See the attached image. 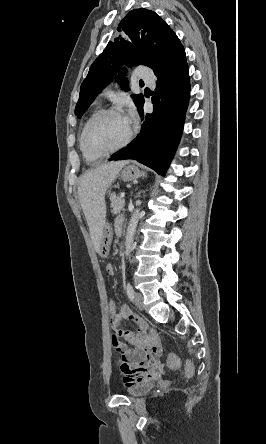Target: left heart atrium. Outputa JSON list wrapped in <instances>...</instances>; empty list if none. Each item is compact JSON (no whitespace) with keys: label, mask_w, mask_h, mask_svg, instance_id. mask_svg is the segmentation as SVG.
Masks as SVG:
<instances>
[{"label":"left heart atrium","mask_w":266,"mask_h":444,"mask_svg":"<svg viewBox=\"0 0 266 444\" xmlns=\"http://www.w3.org/2000/svg\"><path fill=\"white\" fill-rule=\"evenodd\" d=\"M135 117H136L135 112L131 110L127 118V121L130 123L131 121L135 120Z\"/></svg>","instance_id":"left-heart-atrium-1"}]
</instances>
